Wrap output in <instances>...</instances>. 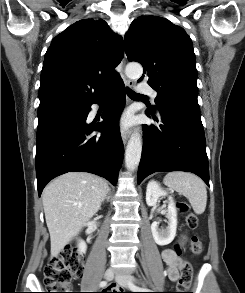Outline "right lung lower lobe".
Instances as JSON below:
<instances>
[{"label": "right lung lower lobe", "mask_w": 245, "mask_h": 293, "mask_svg": "<svg viewBox=\"0 0 245 293\" xmlns=\"http://www.w3.org/2000/svg\"><path fill=\"white\" fill-rule=\"evenodd\" d=\"M108 91L112 99L103 112L102 122H86L91 105L100 103L103 94L83 105L76 113L59 118L37 130L36 175L38 194L53 178L72 171L90 172L117 182L124 147L118 119L125 102L121 78ZM100 131V137L92 132Z\"/></svg>", "instance_id": "1"}]
</instances>
